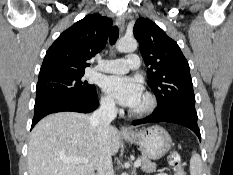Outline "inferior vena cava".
Instances as JSON below:
<instances>
[{
  "label": "inferior vena cava",
  "instance_id": "1",
  "mask_svg": "<svg viewBox=\"0 0 233 175\" xmlns=\"http://www.w3.org/2000/svg\"><path fill=\"white\" fill-rule=\"evenodd\" d=\"M116 115L114 100L103 99L100 102V107L90 117V122L97 126L98 136L102 142L97 175H114L112 157L108 146V134L110 123L116 118Z\"/></svg>",
  "mask_w": 233,
  "mask_h": 175
}]
</instances>
